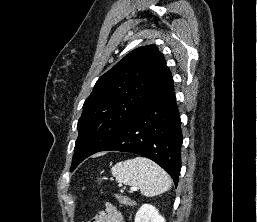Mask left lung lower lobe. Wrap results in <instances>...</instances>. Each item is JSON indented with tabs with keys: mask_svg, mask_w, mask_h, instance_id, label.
<instances>
[{
	"mask_svg": "<svg viewBox=\"0 0 257 222\" xmlns=\"http://www.w3.org/2000/svg\"><path fill=\"white\" fill-rule=\"evenodd\" d=\"M181 145V120L172 82L98 152L116 150L147 157L168 172L177 186Z\"/></svg>",
	"mask_w": 257,
	"mask_h": 222,
	"instance_id": "obj_1",
	"label": "left lung lower lobe"
}]
</instances>
